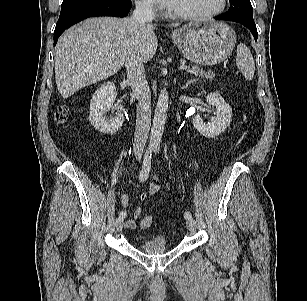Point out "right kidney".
<instances>
[{"mask_svg": "<svg viewBox=\"0 0 307 301\" xmlns=\"http://www.w3.org/2000/svg\"><path fill=\"white\" fill-rule=\"evenodd\" d=\"M114 83L107 82L101 85L93 94L90 103L89 120L96 130L105 134L116 133L123 124L124 116L116 113V117L105 119V112L109 111L116 99Z\"/></svg>", "mask_w": 307, "mask_h": 301, "instance_id": "obj_1", "label": "right kidney"}]
</instances>
